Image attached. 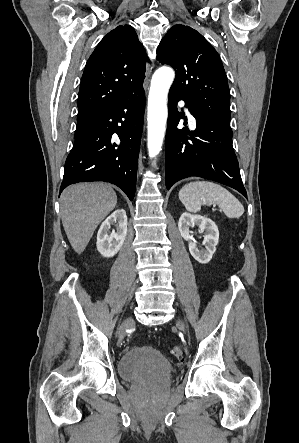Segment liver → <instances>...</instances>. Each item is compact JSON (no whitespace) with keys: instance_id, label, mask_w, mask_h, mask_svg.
<instances>
[{"instance_id":"obj_1","label":"liver","mask_w":299,"mask_h":443,"mask_svg":"<svg viewBox=\"0 0 299 443\" xmlns=\"http://www.w3.org/2000/svg\"><path fill=\"white\" fill-rule=\"evenodd\" d=\"M116 204L115 191L103 183L75 184L62 192V224L76 253L81 254L85 250L97 226Z\"/></svg>"}]
</instances>
